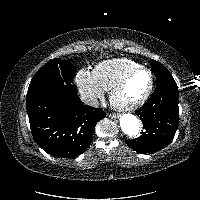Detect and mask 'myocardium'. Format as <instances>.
<instances>
[{
  "mask_svg": "<svg viewBox=\"0 0 200 200\" xmlns=\"http://www.w3.org/2000/svg\"><path fill=\"white\" fill-rule=\"evenodd\" d=\"M140 71H146L150 75V84L149 87L146 91V93L137 101L132 102V103H119L116 100V96L119 93V91L125 86V84L129 81V79L134 76L136 73ZM154 84H155V77L153 74V71L145 66H139L136 67L132 70H130L127 74H125L110 90V102L111 104L118 110L120 111H132L135 110L141 106H143L150 96L152 95L153 89H154Z\"/></svg>",
  "mask_w": 200,
  "mask_h": 200,
  "instance_id": "myocardium-1",
  "label": "myocardium"
}]
</instances>
